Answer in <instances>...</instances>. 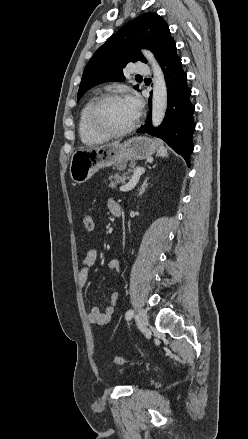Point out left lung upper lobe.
I'll use <instances>...</instances> for the list:
<instances>
[{
	"label": "left lung upper lobe",
	"mask_w": 248,
	"mask_h": 439,
	"mask_svg": "<svg viewBox=\"0 0 248 439\" xmlns=\"http://www.w3.org/2000/svg\"><path fill=\"white\" fill-rule=\"evenodd\" d=\"M173 42L167 23L156 13H146L128 22L99 47L87 63L77 100L99 83L123 81V68L129 62L146 63L139 48L151 50L159 60ZM134 88L138 89V85Z\"/></svg>",
	"instance_id": "obj_1"
}]
</instances>
